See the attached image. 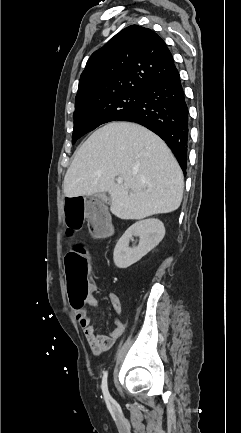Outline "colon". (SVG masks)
I'll use <instances>...</instances> for the list:
<instances>
[{
  "label": "colon",
  "instance_id": "colon-1",
  "mask_svg": "<svg viewBox=\"0 0 241 433\" xmlns=\"http://www.w3.org/2000/svg\"><path fill=\"white\" fill-rule=\"evenodd\" d=\"M65 221L66 229H81L84 225L85 215L90 214L89 224L96 236L104 235L108 230V217L110 206L103 205L102 200H84V198H69L65 193ZM71 238L76 236L74 231L69 233ZM89 260L86 250L77 247L70 251L66 258L61 259V266L66 272L67 288L69 291V302L72 304L73 312H82L84 304L92 296L91 283L89 279Z\"/></svg>",
  "mask_w": 241,
  "mask_h": 433
}]
</instances>
